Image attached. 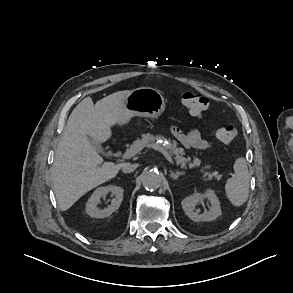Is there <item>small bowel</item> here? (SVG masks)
<instances>
[{
    "mask_svg": "<svg viewBox=\"0 0 293 293\" xmlns=\"http://www.w3.org/2000/svg\"><path fill=\"white\" fill-rule=\"evenodd\" d=\"M172 133L174 137L186 148V149H207L211 145L209 139L202 137L200 130L194 129L190 132H184L178 126L172 127ZM208 136L211 138L214 135V129L210 127L207 131Z\"/></svg>",
    "mask_w": 293,
    "mask_h": 293,
    "instance_id": "c3829d8e",
    "label": "small bowel"
}]
</instances>
